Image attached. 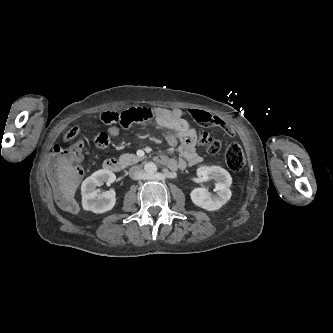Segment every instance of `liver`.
<instances>
[{"mask_svg": "<svg viewBox=\"0 0 333 333\" xmlns=\"http://www.w3.org/2000/svg\"><path fill=\"white\" fill-rule=\"evenodd\" d=\"M60 190L67 202H72L79 183L77 169L65 158L58 161Z\"/></svg>", "mask_w": 333, "mask_h": 333, "instance_id": "obj_1", "label": "liver"}]
</instances>
